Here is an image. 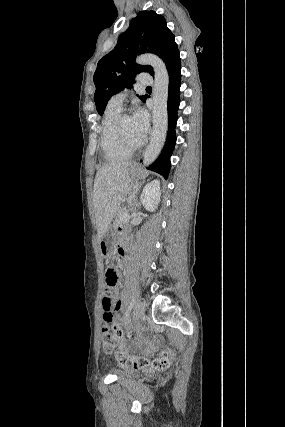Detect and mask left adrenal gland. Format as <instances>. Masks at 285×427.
<instances>
[{
	"label": "left adrenal gland",
	"instance_id": "a2214340",
	"mask_svg": "<svg viewBox=\"0 0 285 427\" xmlns=\"http://www.w3.org/2000/svg\"><path fill=\"white\" fill-rule=\"evenodd\" d=\"M141 186H142L141 184L138 185L136 187V189L134 190V192L132 193V195L130 196V205L132 206V210L133 211H136L137 208L140 206V204L138 203L136 194L140 190Z\"/></svg>",
	"mask_w": 285,
	"mask_h": 427
}]
</instances>
